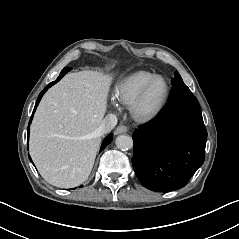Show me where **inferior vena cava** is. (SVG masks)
Listing matches in <instances>:
<instances>
[{
    "label": "inferior vena cava",
    "instance_id": "inferior-vena-cava-1",
    "mask_svg": "<svg viewBox=\"0 0 239 239\" xmlns=\"http://www.w3.org/2000/svg\"><path fill=\"white\" fill-rule=\"evenodd\" d=\"M117 124V118L113 114H107L101 122V126L98 130L99 135H102L106 132L112 130Z\"/></svg>",
    "mask_w": 239,
    "mask_h": 239
}]
</instances>
